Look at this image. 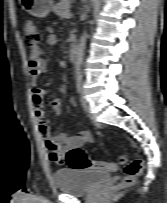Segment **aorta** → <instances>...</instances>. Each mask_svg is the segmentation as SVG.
I'll return each instance as SVG.
<instances>
[{
  "label": "aorta",
  "instance_id": "1",
  "mask_svg": "<svg viewBox=\"0 0 167 203\" xmlns=\"http://www.w3.org/2000/svg\"><path fill=\"white\" fill-rule=\"evenodd\" d=\"M86 39L87 33L86 31H84L76 48V57L74 60V64L77 72L80 71L83 62V55L86 47Z\"/></svg>",
  "mask_w": 167,
  "mask_h": 203
}]
</instances>
